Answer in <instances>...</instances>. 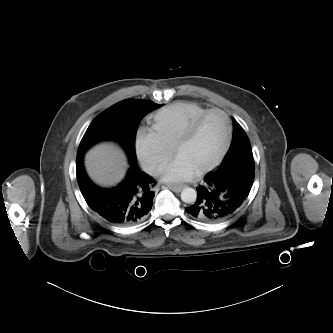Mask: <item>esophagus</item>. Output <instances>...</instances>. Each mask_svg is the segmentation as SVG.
<instances>
[{"label":"esophagus","instance_id":"obj_1","mask_svg":"<svg viewBox=\"0 0 333 333\" xmlns=\"http://www.w3.org/2000/svg\"><path fill=\"white\" fill-rule=\"evenodd\" d=\"M185 187V185H176V184H169L168 188L176 193L180 192L183 188Z\"/></svg>","mask_w":333,"mask_h":333}]
</instances>
